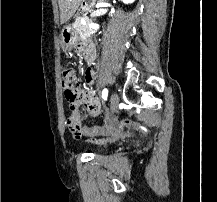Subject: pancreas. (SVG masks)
Wrapping results in <instances>:
<instances>
[{"label":"pancreas","instance_id":"cf45deb5","mask_svg":"<svg viewBox=\"0 0 217 202\" xmlns=\"http://www.w3.org/2000/svg\"><path fill=\"white\" fill-rule=\"evenodd\" d=\"M83 20H85V22H88L89 18H86V16H83ZM74 30H77L78 34H80V36H82L80 39L86 40L88 34H93V31H90L89 28H86V26H83V24H81V20L79 18V20H76L74 26H73ZM85 36V37H83Z\"/></svg>","mask_w":217,"mask_h":202}]
</instances>
